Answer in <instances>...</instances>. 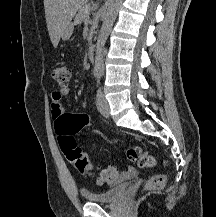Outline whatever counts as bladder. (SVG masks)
Wrapping results in <instances>:
<instances>
[{
    "label": "bladder",
    "mask_w": 216,
    "mask_h": 217,
    "mask_svg": "<svg viewBox=\"0 0 216 217\" xmlns=\"http://www.w3.org/2000/svg\"><path fill=\"white\" fill-rule=\"evenodd\" d=\"M129 188V184H118L105 191H87L82 192V197L89 203L97 204H109L117 202L126 190Z\"/></svg>",
    "instance_id": "obj_1"
}]
</instances>
